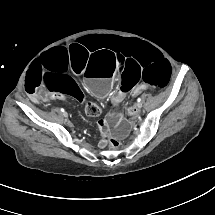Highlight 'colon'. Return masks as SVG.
Instances as JSON below:
<instances>
[{
    "label": "colon",
    "instance_id": "colon-1",
    "mask_svg": "<svg viewBox=\"0 0 215 215\" xmlns=\"http://www.w3.org/2000/svg\"><path fill=\"white\" fill-rule=\"evenodd\" d=\"M85 113L90 117H96L101 114V108L94 102H90L85 106Z\"/></svg>",
    "mask_w": 215,
    "mask_h": 215
}]
</instances>
